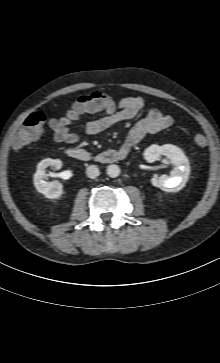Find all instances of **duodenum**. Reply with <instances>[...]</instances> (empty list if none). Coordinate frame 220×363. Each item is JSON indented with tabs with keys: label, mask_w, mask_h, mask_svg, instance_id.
Returning <instances> with one entry per match:
<instances>
[{
	"label": "duodenum",
	"mask_w": 220,
	"mask_h": 363,
	"mask_svg": "<svg viewBox=\"0 0 220 363\" xmlns=\"http://www.w3.org/2000/svg\"><path fill=\"white\" fill-rule=\"evenodd\" d=\"M129 151V149L122 146L117 150H106L98 154H92L84 149L69 148L66 150V155L82 162L112 164L124 160L128 156Z\"/></svg>",
	"instance_id": "duodenum-1"
}]
</instances>
